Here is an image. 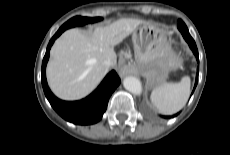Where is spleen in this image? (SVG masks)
I'll use <instances>...</instances> for the list:
<instances>
[{"label":"spleen","instance_id":"3e777b00","mask_svg":"<svg viewBox=\"0 0 230 155\" xmlns=\"http://www.w3.org/2000/svg\"><path fill=\"white\" fill-rule=\"evenodd\" d=\"M190 78L179 82H161L151 93V101L160 113L171 115L181 110L190 95Z\"/></svg>","mask_w":230,"mask_h":155}]
</instances>
